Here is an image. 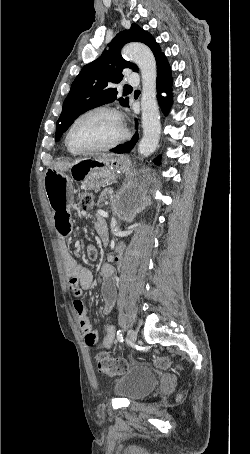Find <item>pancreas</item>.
Returning a JSON list of instances; mask_svg holds the SVG:
<instances>
[{
    "label": "pancreas",
    "instance_id": "obj_1",
    "mask_svg": "<svg viewBox=\"0 0 250 454\" xmlns=\"http://www.w3.org/2000/svg\"><path fill=\"white\" fill-rule=\"evenodd\" d=\"M111 189L110 188H106L100 195V198H99V201H103L104 200V196L110 191Z\"/></svg>",
    "mask_w": 250,
    "mask_h": 454
}]
</instances>
